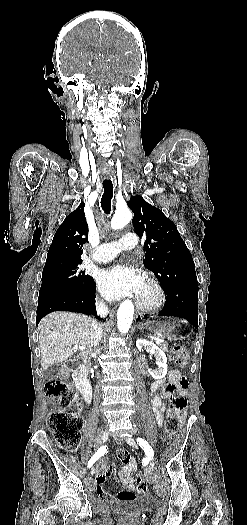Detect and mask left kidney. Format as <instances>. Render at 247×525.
Listing matches in <instances>:
<instances>
[{
  "instance_id": "left-kidney-1",
  "label": "left kidney",
  "mask_w": 247,
  "mask_h": 525,
  "mask_svg": "<svg viewBox=\"0 0 247 525\" xmlns=\"http://www.w3.org/2000/svg\"><path fill=\"white\" fill-rule=\"evenodd\" d=\"M136 347L138 351H142L143 347L148 351V353H151V355H154L156 361V365H158V371L157 373H161V377H165L167 373V357L157 345H154V343H151V341H146V339H137L136 341ZM152 377H156V371H152L150 373Z\"/></svg>"
}]
</instances>
